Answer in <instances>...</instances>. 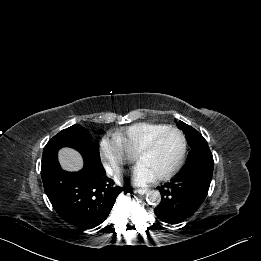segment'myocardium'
Masks as SVG:
<instances>
[{
  "mask_svg": "<svg viewBox=\"0 0 261 261\" xmlns=\"http://www.w3.org/2000/svg\"><path fill=\"white\" fill-rule=\"evenodd\" d=\"M169 132H174L177 133L180 138H181V142H182V148H181V153L180 156L176 162V164L173 166L172 169H170L168 172L159 175L156 177L157 180H167L170 179L171 177H173L183 166L184 161H185V157H186V152H187V140L185 135L183 134V132L181 130H179L178 128H174V127H168L158 133H156L137 153H136V160L139 161V159L149 153L156 145L157 141L166 133Z\"/></svg>",
  "mask_w": 261,
  "mask_h": 261,
  "instance_id": "1",
  "label": "myocardium"
}]
</instances>
